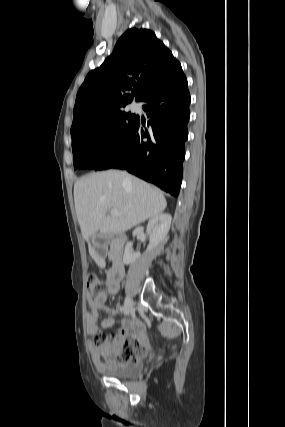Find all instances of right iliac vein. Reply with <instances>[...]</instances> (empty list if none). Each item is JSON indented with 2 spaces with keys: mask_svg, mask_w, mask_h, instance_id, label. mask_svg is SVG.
<instances>
[{
  "mask_svg": "<svg viewBox=\"0 0 285 427\" xmlns=\"http://www.w3.org/2000/svg\"><path fill=\"white\" fill-rule=\"evenodd\" d=\"M132 309H133V300L131 297L126 296L125 304H124V313L126 315H129L132 312Z\"/></svg>",
  "mask_w": 285,
  "mask_h": 427,
  "instance_id": "obj_1",
  "label": "right iliac vein"
}]
</instances>
